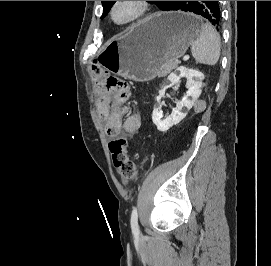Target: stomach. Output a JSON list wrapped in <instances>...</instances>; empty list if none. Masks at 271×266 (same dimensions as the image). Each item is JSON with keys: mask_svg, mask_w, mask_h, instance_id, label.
Returning a JSON list of instances; mask_svg holds the SVG:
<instances>
[{"mask_svg": "<svg viewBox=\"0 0 271 266\" xmlns=\"http://www.w3.org/2000/svg\"><path fill=\"white\" fill-rule=\"evenodd\" d=\"M199 32L200 20L192 13L155 14L108 41L97 59L113 74L149 81L162 73L165 63L183 56Z\"/></svg>", "mask_w": 271, "mask_h": 266, "instance_id": "stomach-1", "label": "stomach"}]
</instances>
